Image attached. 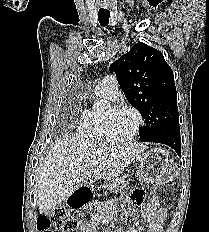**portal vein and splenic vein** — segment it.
Wrapping results in <instances>:
<instances>
[{
  "label": "portal vein and splenic vein",
  "mask_w": 209,
  "mask_h": 232,
  "mask_svg": "<svg viewBox=\"0 0 209 232\" xmlns=\"http://www.w3.org/2000/svg\"><path fill=\"white\" fill-rule=\"evenodd\" d=\"M97 165H98V161H93V162H92V166H93V167H95V166H97Z\"/></svg>",
  "instance_id": "18ae733b"
}]
</instances>
